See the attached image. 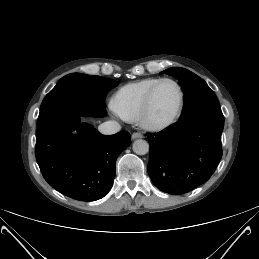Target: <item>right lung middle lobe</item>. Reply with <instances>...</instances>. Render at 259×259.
Masks as SVG:
<instances>
[{
    "label": "right lung middle lobe",
    "instance_id": "1",
    "mask_svg": "<svg viewBox=\"0 0 259 259\" xmlns=\"http://www.w3.org/2000/svg\"><path fill=\"white\" fill-rule=\"evenodd\" d=\"M115 86L117 82L112 79L82 73L68 74L43 99L38 123L60 113L105 117L104 97Z\"/></svg>",
    "mask_w": 259,
    "mask_h": 259
}]
</instances>
